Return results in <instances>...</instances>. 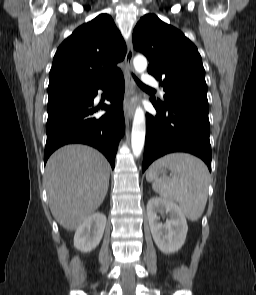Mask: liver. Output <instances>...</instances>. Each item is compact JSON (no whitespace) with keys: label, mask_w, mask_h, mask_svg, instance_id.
Instances as JSON below:
<instances>
[{"label":"liver","mask_w":256,"mask_h":295,"mask_svg":"<svg viewBox=\"0 0 256 295\" xmlns=\"http://www.w3.org/2000/svg\"><path fill=\"white\" fill-rule=\"evenodd\" d=\"M110 166L97 150L80 144L64 146L47 161L45 182L55 220L76 230L102 204L109 187Z\"/></svg>","instance_id":"liver-1"}]
</instances>
